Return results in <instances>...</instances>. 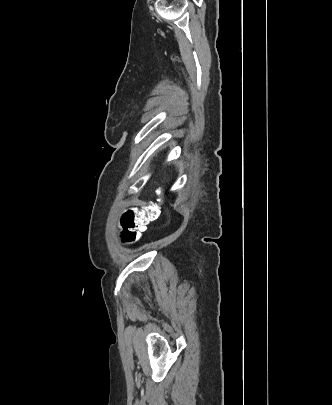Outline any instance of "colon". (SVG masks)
Wrapping results in <instances>:
<instances>
[{"instance_id": "obj_1", "label": "colon", "mask_w": 332, "mask_h": 405, "mask_svg": "<svg viewBox=\"0 0 332 405\" xmlns=\"http://www.w3.org/2000/svg\"><path fill=\"white\" fill-rule=\"evenodd\" d=\"M156 204H148L141 209H128L122 216L123 240L126 244H134L140 240L147 225L158 217Z\"/></svg>"}]
</instances>
